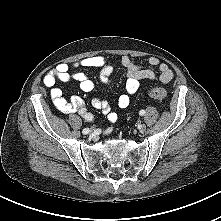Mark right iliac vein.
I'll list each match as a JSON object with an SVG mask.
<instances>
[{
	"label": "right iliac vein",
	"mask_w": 221,
	"mask_h": 221,
	"mask_svg": "<svg viewBox=\"0 0 221 221\" xmlns=\"http://www.w3.org/2000/svg\"><path fill=\"white\" fill-rule=\"evenodd\" d=\"M89 133L93 134V133H94V131H93V130H89Z\"/></svg>",
	"instance_id": "obj_1"
}]
</instances>
